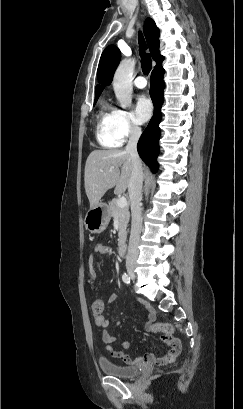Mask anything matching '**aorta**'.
<instances>
[{
    "label": "aorta",
    "mask_w": 243,
    "mask_h": 409,
    "mask_svg": "<svg viewBox=\"0 0 243 409\" xmlns=\"http://www.w3.org/2000/svg\"><path fill=\"white\" fill-rule=\"evenodd\" d=\"M134 61L124 59L119 64L113 78V88L115 96L122 108H126L132 103V79Z\"/></svg>",
    "instance_id": "aorta-1"
}]
</instances>
